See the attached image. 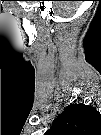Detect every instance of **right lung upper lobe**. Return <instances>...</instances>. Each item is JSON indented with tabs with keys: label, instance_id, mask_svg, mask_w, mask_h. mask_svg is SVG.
I'll list each match as a JSON object with an SVG mask.
<instances>
[{
	"label": "right lung upper lobe",
	"instance_id": "right-lung-upper-lobe-1",
	"mask_svg": "<svg viewBox=\"0 0 101 135\" xmlns=\"http://www.w3.org/2000/svg\"><path fill=\"white\" fill-rule=\"evenodd\" d=\"M98 112L89 105L72 104L54 121L51 129H65L68 135H96L94 118Z\"/></svg>",
	"mask_w": 101,
	"mask_h": 135
}]
</instances>
